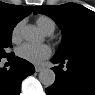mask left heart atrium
Returning a JSON list of instances; mask_svg holds the SVG:
<instances>
[{
  "mask_svg": "<svg viewBox=\"0 0 95 95\" xmlns=\"http://www.w3.org/2000/svg\"><path fill=\"white\" fill-rule=\"evenodd\" d=\"M17 55L30 63L39 64L51 55V49L47 45L25 43L17 49Z\"/></svg>",
  "mask_w": 95,
  "mask_h": 95,
  "instance_id": "1",
  "label": "left heart atrium"
}]
</instances>
